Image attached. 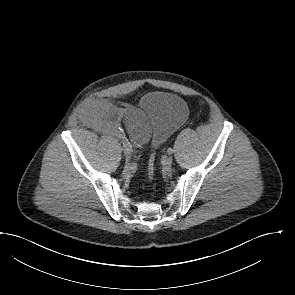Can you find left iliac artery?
Listing matches in <instances>:
<instances>
[{
  "mask_svg": "<svg viewBox=\"0 0 295 295\" xmlns=\"http://www.w3.org/2000/svg\"><path fill=\"white\" fill-rule=\"evenodd\" d=\"M173 152H174V150H173L172 148H168V149H167V153H168L169 155L173 154Z\"/></svg>",
  "mask_w": 295,
  "mask_h": 295,
  "instance_id": "44dca946",
  "label": "left iliac artery"
}]
</instances>
